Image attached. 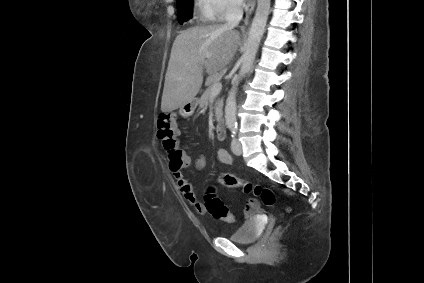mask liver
Segmentation results:
<instances>
[{
  "mask_svg": "<svg viewBox=\"0 0 424 283\" xmlns=\"http://www.w3.org/2000/svg\"><path fill=\"white\" fill-rule=\"evenodd\" d=\"M240 35L226 25L196 26L180 32L171 49L161 111L171 112L194 100L204 70L215 75L233 60Z\"/></svg>",
  "mask_w": 424,
  "mask_h": 283,
  "instance_id": "obj_1",
  "label": "liver"
}]
</instances>
